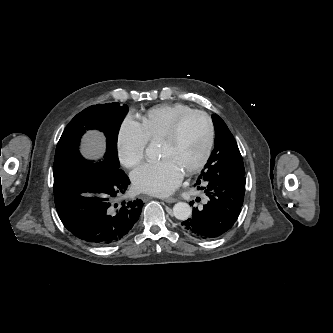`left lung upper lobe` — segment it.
Instances as JSON below:
<instances>
[{
  "instance_id": "1",
  "label": "left lung upper lobe",
  "mask_w": 333,
  "mask_h": 333,
  "mask_svg": "<svg viewBox=\"0 0 333 333\" xmlns=\"http://www.w3.org/2000/svg\"><path fill=\"white\" fill-rule=\"evenodd\" d=\"M215 147L202 173L212 172L221 178L244 177L245 169L236 141L225 122L212 115Z\"/></svg>"
}]
</instances>
